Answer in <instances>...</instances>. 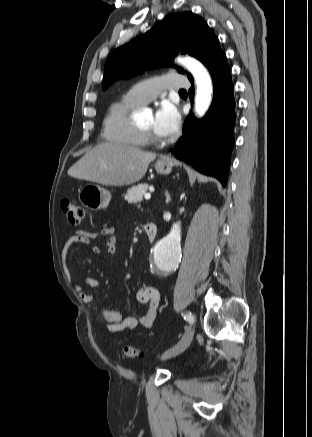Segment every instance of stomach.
Instances as JSON below:
<instances>
[{"mask_svg": "<svg viewBox=\"0 0 312 437\" xmlns=\"http://www.w3.org/2000/svg\"><path fill=\"white\" fill-rule=\"evenodd\" d=\"M155 170L158 174L168 175L172 171L170 159H159L155 163ZM79 201L86 208L97 211L106 209L111 201V193L105 188L96 184H86L79 192Z\"/></svg>", "mask_w": 312, "mask_h": 437, "instance_id": "stomach-1", "label": "stomach"}]
</instances>
